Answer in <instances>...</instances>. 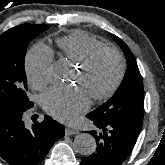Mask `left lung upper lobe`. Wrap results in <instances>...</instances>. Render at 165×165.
Returning a JSON list of instances; mask_svg holds the SVG:
<instances>
[{
  "label": "left lung upper lobe",
  "instance_id": "1",
  "mask_svg": "<svg viewBox=\"0 0 165 165\" xmlns=\"http://www.w3.org/2000/svg\"><path fill=\"white\" fill-rule=\"evenodd\" d=\"M111 36L125 53L127 71L115 95L87 116L102 122H118L141 128L144 93L141 74L128 46L114 34Z\"/></svg>",
  "mask_w": 165,
  "mask_h": 165
}]
</instances>
